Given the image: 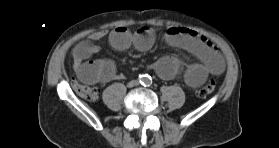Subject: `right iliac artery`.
I'll return each instance as SVG.
<instances>
[{
  "label": "right iliac artery",
  "mask_w": 279,
  "mask_h": 148,
  "mask_svg": "<svg viewBox=\"0 0 279 148\" xmlns=\"http://www.w3.org/2000/svg\"><path fill=\"white\" fill-rule=\"evenodd\" d=\"M139 80H140V82H143L145 80V76L144 75H139Z\"/></svg>",
  "instance_id": "obj_1"
}]
</instances>
